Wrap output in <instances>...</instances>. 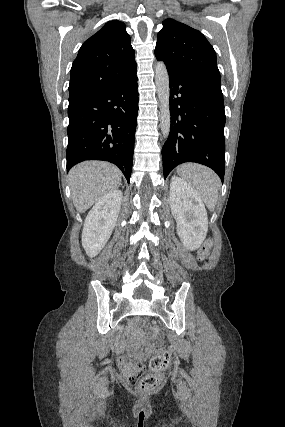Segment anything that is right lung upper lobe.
Returning a JSON list of instances; mask_svg holds the SVG:
<instances>
[{"instance_id":"obj_1","label":"right lung upper lobe","mask_w":285,"mask_h":427,"mask_svg":"<svg viewBox=\"0 0 285 427\" xmlns=\"http://www.w3.org/2000/svg\"><path fill=\"white\" fill-rule=\"evenodd\" d=\"M136 72L125 24L110 21L81 46L71 68L69 101L123 84Z\"/></svg>"}]
</instances>
